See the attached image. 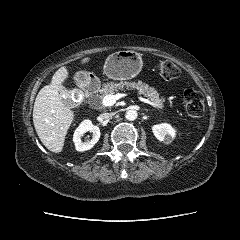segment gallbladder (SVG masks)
<instances>
[{"label": "gallbladder", "mask_w": 240, "mask_h": 240, "mask_svg": "<svg viewBox=\"0 0 240 240\" xmlns=\"http://www.w3.org/2000/svg\"><path fill=\"white\" fill-rule=\"evenodd\" d=\"M67 95L69 96L66 100H64L65 105H71L72 101L70 99L71 92H68Z\"/></svg>", "instance_id": "obj_1"}]
</instances>
